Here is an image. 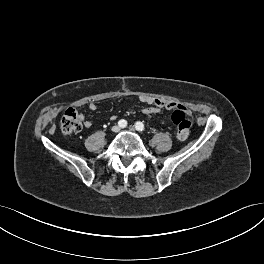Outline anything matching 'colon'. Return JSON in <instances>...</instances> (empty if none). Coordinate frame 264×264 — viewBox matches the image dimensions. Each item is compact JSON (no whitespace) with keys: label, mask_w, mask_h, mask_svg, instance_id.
<instances>
[{"label":"colon","mask_w":264,"mask_h":264,"mask_svg":"<svg viewBox=\"0 0 264 264\" xmlns=\"http://www.w3.org/2000/svg\"><path fill=\"white\" fill-rule=\"evenodd\" d=\"M171 120L176 127L177 136L180 139H186L191 130L192 122L187 117L182 106H178L171 115ZM61 130L66 135L78 133L82 129V123L79 114L73 108L67 109L60 122Z\"/></svg>","instance_id":"colon-1"}]
</instances>
